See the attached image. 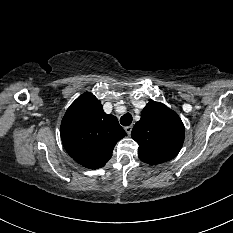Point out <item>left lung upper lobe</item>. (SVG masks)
Wrapping results in <instances>:
<instances>
[{
	"label": "left lung upper lobe",
	"mask_w": 233,
	"mask_h": 233,
	"mask_svg": "<svg viewBox=\"0 0 233 233\" xmlns=\"http://www.w3.org/2000/svg\"><path fill=\"white\" fill-rule=\"evenodd\" d=\"M184 133V125L173 110L151 101L143 109L131 135L139 144L140 160L156 165L173 159L179 153Z\"/></svg>",
	"instance_id": "obj_1"
}]
</instances>
